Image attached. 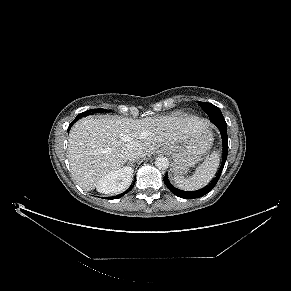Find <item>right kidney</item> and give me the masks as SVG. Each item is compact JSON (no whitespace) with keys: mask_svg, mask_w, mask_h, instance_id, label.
Listing matches in <instances>:
<instances>
[{"mask_svg":"<svg viewBox=\"0 0 291 291\" xmlns=\"http://www.w3.org/2000/svg\"><path fill=\"white\" fill-rule=\"evenodd\" d=\"M133 175V169L123 167L113 171L101 178L97 185V190L100 193L116 194L121 192L130 181Z\"/></svg>","mask_w":291,"mask_h":291,"instance_id":"right-kidney-1","label":"right kidney"}]
</instances>
